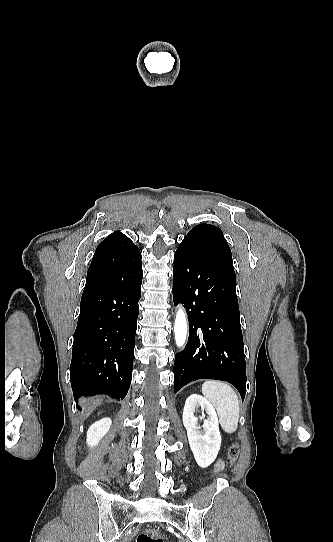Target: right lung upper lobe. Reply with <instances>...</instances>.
Masks as SVG:
<instances>
[{"instance_id":"cb5924a9","label":"right lung upper lobe","mask_w":333,"mask_h":542,"mask_svg":"<svg viewBox=\"0 0 333 542\" xmlns=\"http://www.w3.org/2000/svg\"><path fill=\"white\" fill-rule=\"evenodd\" d=\"M129 238L127 236H125L124 234H122L120 231H116L112 234H110L105 240H103L99 245L98 247H106V246H111V245H114L116 243H120V242H123V241H126L128 240Z\"/></svg>"}]
</instances>
